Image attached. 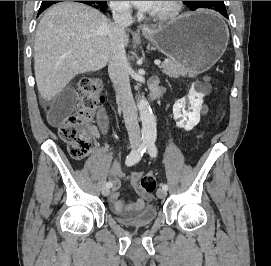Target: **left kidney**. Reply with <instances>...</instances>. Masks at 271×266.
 Returning a JSON list of instances; mask_svg holds the SVG:
<instances>
[{
	"label": "left kidney",
	"instance_id": "5707ae66",
	"mask_svg": "<svg viewBox=\"0 0 271 266\" xmlns=\"http://www.w3.org/2000/svg\"><path fill=\"white\" fill-rule=\"evenodd\" d=\"M189 107L185 110V104L177 101L173 106L174 120L179 128L190 131L200 122V112L203 104V95L191 89L188 94Z\"/></svg>",
	"mask_w": 271,
	"mask_h": 266
}]
</instances>
